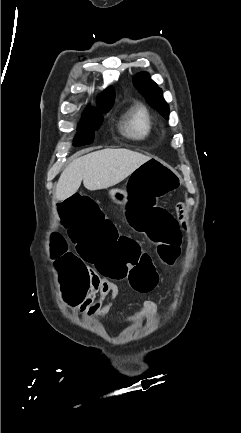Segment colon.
<instances>
[{
  "mask_svg": "<svg viewBox=\"0 0 241 433\" xmlns=\"http://www.w3.org/2000/svg\"><path fill=\"white\" fill-rule=\"evenodd\" d=\"M162 157H147L136 165V172L126 184V201L122 213L129 225L139 228L145 235H153L160 260L173 265L180 255L184 236L179 217L167 212L166 207H156L163 195H170L181 185L178 173L172 171ZM137 207H130L131 203ZM55 218L61 219V229H69L68 237L75 243L77 258L66 248L61 235L53 237L51 256L57 261L55 269L62 272L60 288L69 305H84L91 291V272H103L114 280L129 278L134 290L147 292L157 282L151 256L144 252L134 234L118 230L115 220H106L101 205H96L89 192H71L65 202H56Z\"/></svg>",
  "mask_w": 241,
  "mask_h": 433,
  "instance_id": "obj_1",
  "label": "colon"
}]
</instances>
